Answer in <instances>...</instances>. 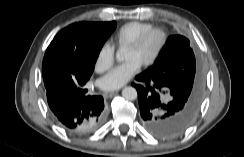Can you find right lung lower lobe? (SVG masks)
Listing matches in <instances>:
<instances>
[{"label": "right lung lower lobe", "mask_w": 244, "mask_h": 157, "mask_svg": "<svg viewBox=\"0 0 244 157\" xmlns=\"http://www.w3.org/2000/svg\"><path fill=\"white\" fill-rule=\"evenodd\" d=\"M84 84L71 83L47 93L56 121L71 133L90 132L101 124L105 116L103 98L87 95Z\"/></svg>", "instance_id": "1"}]
</instances>
